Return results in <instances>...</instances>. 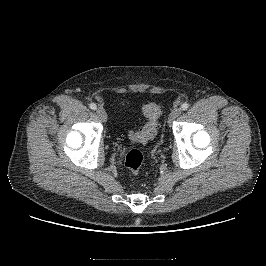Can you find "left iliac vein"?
<instances>
[{
  "label": "left iliac vein",
  "mask_w": 266,
  "mask_h": 266,
  "mask_svg": "<svg viewBox=\"0 0 266 266\" xmlns=\"http://www.w3.org/2000/svg\"><path fill=\"white\" fill-rule=\"evenodd\" d=\"M181 112V108H174L169 115L168 123H171L174 119H176L181 114Z\"/></svg>",
  "instance_id": "1"
}]
</instances>
